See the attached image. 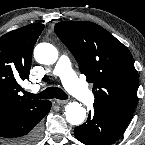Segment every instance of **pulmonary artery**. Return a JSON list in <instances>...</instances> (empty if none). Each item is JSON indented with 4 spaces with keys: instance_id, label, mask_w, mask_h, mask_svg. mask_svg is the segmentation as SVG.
I'll return each instance as SVG.
<instances>
[{
    "instance_id": "pulmonary-artery-1",
    "label": "pulmonary artery",
    "mask_w": 145,
    "mask_h": 145,
    "mask_svg": "<svg viewBox=\"0 0 145 145\" xmlns=\"http://www.w3.org/2000/svg\"><path fill=\"white\" fill-rule=\"evenodd\" d=\"M54 74L61 78L64 86L78 100L85 104H89L93 101L92 92L79 81L66 55H62L59 58Z\"/></svg>"
}]
</instances>
